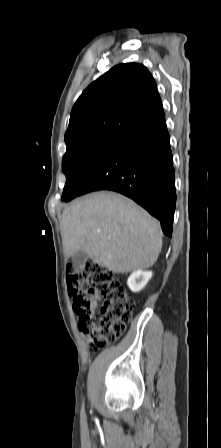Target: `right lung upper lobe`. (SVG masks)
<instances>
[{"label": "right lung upper lobe", "mask_w": 221, "mask_h": 448, "mask_svg": "<svg viewBox=\"0 0 221 448\" xmlns=\"http://www.w3.org/2000/svg\"><path fill=\"white\" fill-rule=\"evenodd\" d=\"M154 78L137 63L119 64L91 83L73 106L65 133L67 151L119 139L162 109Z\"/></svg>", "instance_id": "obj_1"}]
</instances>
